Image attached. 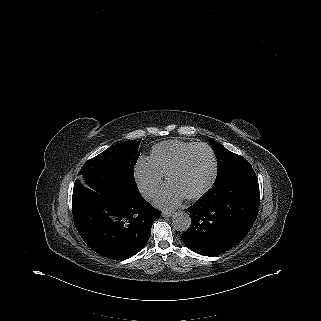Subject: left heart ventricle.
Wrapping results in <instances>:
<instances>
[{"mask_svg": "<svg viewBox=\"0 0 321 321\" xmlns=\"http://www.w3.org/2000/svg\"><path fill=\"white\" fill-rule=\"evenodd\" d=\"M213 159L206 149L197 150L187 166L171 179V185L181 193L189 194L202 188L211 178Z\"/></svg>", "mask_w": 321, "mask_h": 321, "instance_id": "b2bd125f", "label": "left heart ventricle"}]
</instances>
